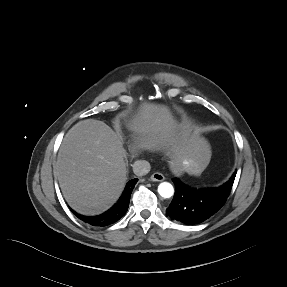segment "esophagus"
I'll return each mask as SVG.
<instances>
[{"instance_id":"obj_1","label":"esophagus","mask_w":287,"mask_h":287,"mask_svg":"<svg viewBox=\"0 0 287 287\" xmlns=\"http://www.w3.org/2000/svg\"><path fill=\"white\" fill-rule=\"evenodd\" d=\"M150 178L154 182H161L165 179L164 175L158 172L153 173Z\"/></svg>"}]
</instances>
